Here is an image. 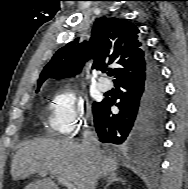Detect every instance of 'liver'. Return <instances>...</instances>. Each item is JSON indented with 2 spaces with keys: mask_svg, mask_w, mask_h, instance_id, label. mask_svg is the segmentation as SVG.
Wrapping results in <instances>:
<instances>
[{
  "mask_svg": "<svg viewBox=\"0 0 188 189\" xmlns=\"http://www.w3.org/2000/svg\"><path fill=\"white\" fill-rule=\"evenodd\" d=\"M94 168L100 177L115 173L118 162L112 156L100 155L93 160L83 145L66 139L37 138L24 143L11 164L14 180L45 171L54 177L73 182L77 189H95ZM46 176V175H45ZM29 183L24 189H59L51 177Z\"/></svg>",
  "mask_w": 188,
  "mask_h": 189,
  "instance_id": "1",
  "label": "liver"
}]
</instances>
